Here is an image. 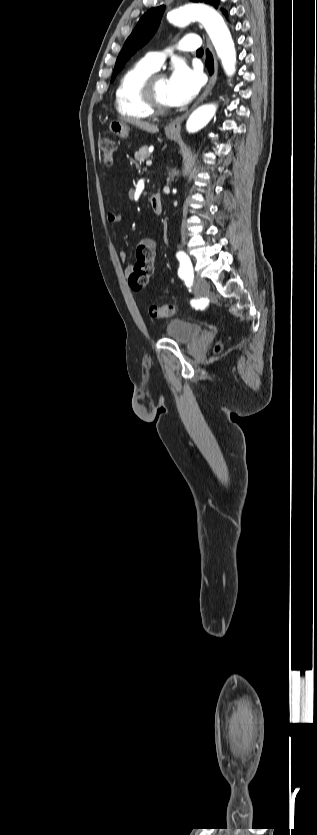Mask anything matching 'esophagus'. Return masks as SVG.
<instances>
[{
    "mask_svg": "<svg viewBox=\"0 0 317 835\" xmlns=\"http://www.w3.org/2000/svg\"><path fill=\"white\" fill-rule=\"evenodd\" d=\"M206 47H207V49H208L209 51H211V52L213 53V48H212V45H211L210 40H209L208 38H207V44H206ZM213 55H214V71H213V73L209 76V81H208V83H207V85H206L205 89L203 90L202 94L200 95V97L198 98V100L194 103V105H193V106H192V107H191V108H190V109H189V110H188L185 114H183V115H181V116L177 117L176 119H174L173 121H171V122H170V123L166 126V131H168V132H172V133H178V132H180L182 122H183V121H184V120L188 117V115H189V114H190V113H191V112H192V111H193V110H194V109H195V108H196V107H197V106H198L201 102H203V100L207 97V95H208V94L211 92V90L213 89V87H214V85H215V82H216V78H217V59H216V57H215V54H214V53H213Z\"/></svg>",
    "mask_w": 317,
    "mask_h": 835,
    "instance_id": "34e87169",
    "label": "esophagus"
}]
</instances>
